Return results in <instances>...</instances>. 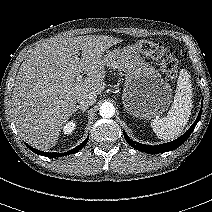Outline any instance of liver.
I'll list each match as a JSON object with an SVG mask.
<instances>
[{
	"mask_svg": "<svg viewBox=\"0 0 212 212\" xmlns=\"http://www.w3.org/2000/svg\"><path fill=\"white\" fill-rule=\"evenodd\" d=\"M121 41L104 35L53 37L27 56L16 76L11 110L18 131L30 145L55 146L78 95L101 94L106 86L103 54ZM83 72L87 76L77 81Z\"/></svg>",
	"mask_w": 212,
	"mask_h": 212,
	"instance_id": "obj_1",
	"label": "liver"
}]
</instances>
